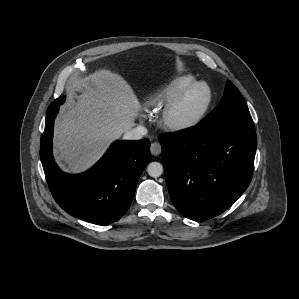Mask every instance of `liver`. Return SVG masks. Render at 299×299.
Instances as JSON below:
<instances>
[{
  "label": "liver",
  "mask_w": 299,
  "mask_h": 299,
  "mask_svg": "<svg viewBox=\"0 0 299 299\" xmlns=\"http://www.w3.org/2000/svg\"><path fill=\"white\" fill-rule=\"evenodd\" d=\"M78 94L55 125L56 160L69 172L90 167L110 141L129 131L140 110L130 84L118 73L98 69L72 83Z\"/></svg>",
  "instance_id": "1"
}]
</instances>
